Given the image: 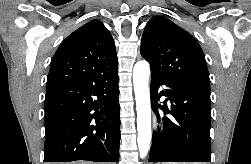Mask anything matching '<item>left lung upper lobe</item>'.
<instances>
[{
  "label": "left lung upper lobe",
  "mask_w": 251,
  "mask_h": 164,
  "mask_svg": "<svg viewBox=\"0 0 251 164\" xmlns=\"http://www.w3.org/2000/svg\"><path fill=\"white\" fill-rule=\"evenodd\" d=\"M141 55L151 71L210 90L205 56L197 40L167 18L149 20L142 36Z\"/></svg>",
  "instance_id": "obj_1"
}]
</instances>
